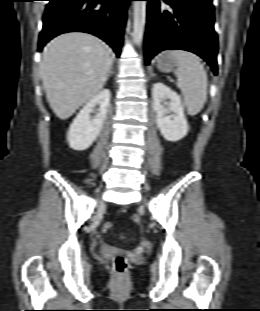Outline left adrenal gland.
I'll return each instance as SVG.
<instances>
[{
    "label": "left adrenal gland",
    "instance_id": "a2214340",
    "mask_svg": "<svg viewBox=\"0 0 260 311\" xmlns=\"http://www.w3.org/2000/svg\"><path fill=\"white\" fill-rule=\"evenodd\" d=\"M150 75L151 76H156V74H154L153 71H151Z\"/></svg>",
    "mask_w": 260,
    "mask_h": 311
}]
</instances>
